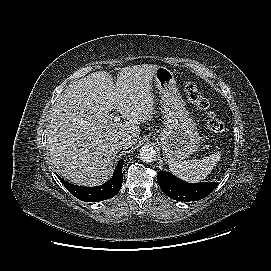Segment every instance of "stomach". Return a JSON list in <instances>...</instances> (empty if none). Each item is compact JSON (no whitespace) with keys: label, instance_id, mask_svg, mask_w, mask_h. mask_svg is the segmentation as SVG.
<instances>
[{"label":"stomach","instance_id":"1","mask_svg":"<svg viewBox=\"0 0 271 271\" xmlns=\"http://www.w3.org/2000/svg\"><path fill=\"white\" fill-rule=\"evenodd\" d=\"M154 79L165 121L164 129L158 137L164 160L167 163L181 161L196 151L200 137L178 91L174 73L159 66L154 73Z\"/></svg>","mask_w":271,"mask_h":271}]
</instances>
